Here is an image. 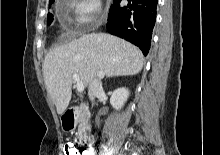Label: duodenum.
Returning <instances> with one entry per match:
<instances>
[{
	"instance_id": "obj_1",
	"label": "duodenum",
	"mask_w": 220,
	"mask_h": 155,
	"mask_svg": "<svg viewBox=\"0 0 220 155\" xmlns=\"http://www.w3.org/2000/svg\"><path fill=\"white\" fill-rule=\"evenodd\" d=\"M82 111L81 107H73L65 111L63 114V122L67 125H74L76 118L78 114ZM81 142L84 144V147H86L87 152L90 154V144H91V138L88 135H83L81 137Z\"/></svg>"
}]
</instances>
